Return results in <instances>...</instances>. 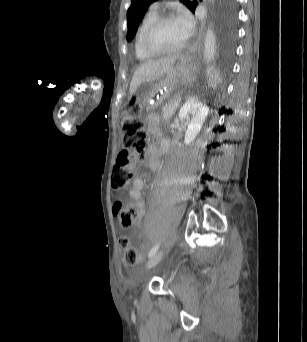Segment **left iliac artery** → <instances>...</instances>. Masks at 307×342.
Instances as JSON below:
<instances>
[{"mask_svg":"<svg viewBox=\"0 0 307 342\" xmlns=\"http://www.w3.org/2000/svg\"><path fill=\"white\" fill-rule=\"evenodd\" d=\"M159 246H160V242L157 243L154 247H152L148 253V257H152L157 252Z\"/></svg>","mask_w":307,"mask_h":342,"instance_id":"44dca946","label":"left iliac artery"}]
</instances>
